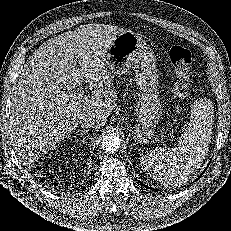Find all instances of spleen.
Wrapping results in <instances>:
<instances>
[{
	"instance_id": "3e777b00",
	"label": "spleen",
	"mask_w": 231,
	"mask_h": 231,
	"mask_svg": "<svg viewBox=\"0 0 231 231\" xmlns=\"http://www.w3.org/2000/svg\"><path fill=\"white\" fill-rule=\"evenodd\" d=\"M213 114L197 100L192 106L189 127L174 147H156L141 156L140 165L157 183L181 186L205 159L209 151Z\"/></svg>"
}]
</instances>
